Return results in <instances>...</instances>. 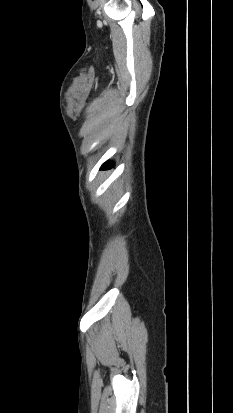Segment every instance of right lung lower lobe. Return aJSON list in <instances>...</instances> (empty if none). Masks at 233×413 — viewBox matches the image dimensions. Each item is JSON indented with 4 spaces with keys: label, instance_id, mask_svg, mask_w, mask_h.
<instances>
[{
    "label": "right lung lower lobe",
    "instance_id": "1",
    "mask_svg": "<svg viewBox=\"0 0 233 413\" xmlns=\"http://www.w3.org/2000/svg\"><path fill=\"white\" fill-rule=\"evenodd\" d=\"M112 165L111 162H106L103 164L102 168H109Z\"/></svg>",
    "mask_w": 233,
    "mask_h": 413
}]
</instances>
